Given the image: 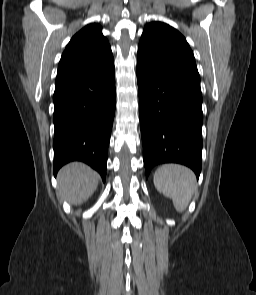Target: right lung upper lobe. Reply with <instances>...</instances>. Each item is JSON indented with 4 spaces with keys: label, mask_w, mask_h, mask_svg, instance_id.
<instances>
[{
    "label": "right lung upper lobe",
    "mask_w": 256,
    "mask_h": 295,
    "mask_svg": "<svg viewBox=\"0 0 256 295\" xmlns=\"http://www.w3.org/2000/svg\"><path fill=\"white\" fill-rule=\"evenodd\" d=\"M111 48L98 24H90L76 33L62 54L56 80L88 72L113 63Z\"/></svg>",
    "instance_id": "1"
}]
</instances>
